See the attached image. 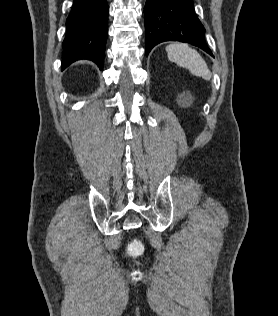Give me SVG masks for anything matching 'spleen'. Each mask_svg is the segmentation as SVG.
Returning <instances> with one entry per match:
<instances>
[{
    "label": "spleen",
    "mask_w": 278,
    "mask_h": 316,
    "mask_svg": "<svg viewBox=\"0 0 278 316\" xmlns=\"http://www.w3.org/2000/svg\"><path fill=\"white\" fill-rule=\"evenodd\" d=\"M170 61L181 67L189 69L195 76H201L205 80L211 79V72L201 55L185 43H172L166 47Z\"/></svg>",
    "instance_id": "3e777b00"
}]
</instances>
